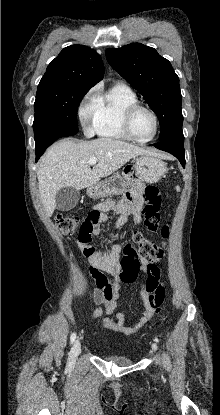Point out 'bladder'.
<instances>
[{
    "label": "bladder",
    "mask_w": 220,
    "mask_h": 415,
    "mask_svg": "<svg viewBox=\"0 0 220 415\" xmlns=\"http://www.w3.org/2000/svg\"><path fill=\"white\" fill-rule=\"evenodd\" d=\"M105 359L121 367L130 366L133 363L132 359L126 356H121V355H109V356H106Z\"/></svg>",
    "instance_id": "31cf9c89"
}]
</instances>
